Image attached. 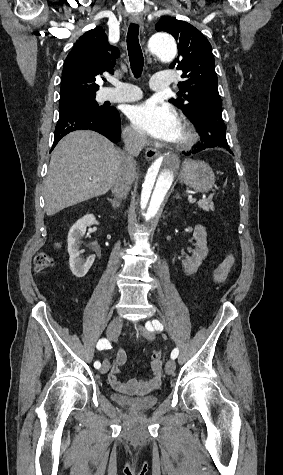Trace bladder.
Segmentation results:
<instances>
[{
    "label": "bladder",
    "instance_id": "bladder-1",
    "mask_svg": "<svg viewBox=\"0 0 283 475\" xmlns=\"http://www.w3.org/2000/svg\"><path fill=\"white\" fill-rule=\"evenodd\" d=\"M160 394L147 395L141 397H126L120 393H114L112 400L124 407L136 411H147L150 408L156 406L159 402Z\"/></svg>",
    "mask_w": 283,
    "mask_h": 475
}]
</instances>
